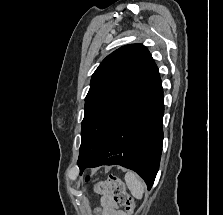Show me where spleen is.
Here are the masks:
<instances>
[{
    "label": "spleen",
    "mask_w": 223,
    "mask_h": 215,
    "mask_svg": "<svg viewBox=\"0 0 223 215\" xmlns=\"http://www.w3.org/2000/svg\"><path fill=\"white\" fill-rule=\"evenodd\" d=\"M125 181L132 195L137 197V199H141L145 191V185L143 181L137 177L136 173H133V171H127V173H125Z\"/></svg>",
    "instance_id": "obj_1"
}]
</instances>
